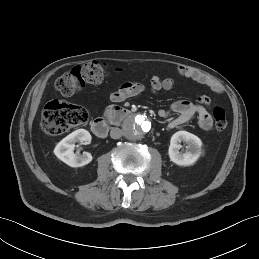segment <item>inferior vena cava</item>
Masks as SVG:
<instances>
[{"label":"inferior vena cava","mask_w":259,"mask_h":259,"mask_svg":"<svg viewBox=\"0 0 259 259\" xmlns=\"http://www.w3.org/2000/svg\"><path fill=\"white\" fill-rule=\"evenodd\" d=\"M123 132L119 128H112L110 131V136L113 139H119L122 136Z\"/></svg>","instance_id":"obj_1"}]
</instances>
